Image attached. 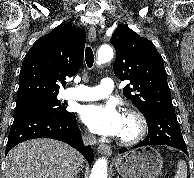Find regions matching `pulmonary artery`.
<instances>
[{"label": "pulmonary artery", "instance_id": "pulmonary-artery-1", "mask_svg": "<svg viewBox=\"0 0 194 178\" xmlns=\"http://www.w3.org/2000/svg\"><path fill=\"white\" fill-rule=\"evenodd\" d=\"M114 88V81L110 77H105L100 84L94 87L80 85L74 89H68L64 97L78 101H93L107 97Z\"/></svg>", "mask_w": 194, "mask_h": 178}]
</instances>
